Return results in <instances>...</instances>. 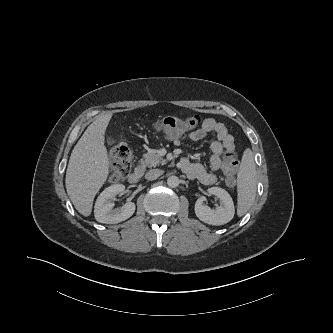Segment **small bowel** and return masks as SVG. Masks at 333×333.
<instances>
[{"mask_svg": "<svg viewBox=\"0 0 333 333\" xmlns=\"http://www.w3.org/2000/svg\"><path fill=\"white\" fill-rule=\"evenodd\" d=\"M215 133L217 140L213 141L210 145L211 156L209 159L210 169L208 171L202 164L191 162L187 158L180 160V168L192 179L198 180L204 185H214L217 181L215 172L223 167L222 154L228 149H234L233 136L228 132L224 124L214 120L213 118H206L200 128L188 133L191 140L198 141L203 139L208 133ZM174 144L181 145V140L174 139Z\"/></svg>", "mask_w": 333, "mask_h": 333, "instance_id": "c3829d8e", "label": "small bowel"}]
</instances>
